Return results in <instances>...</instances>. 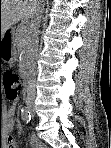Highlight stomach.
Listing matches in <instances>:
<instances>
[{
    "instance_id": "1",
    "label": "stomach",
    "mask_w": 111,
    "mask_h": 148,
    "mask_svg": "<svg viewBox=\"0 0 111 148\" xmlns=\"http://www.w3.org/2000/svg\"><path fill=\"white\" fill-rule=\"evenodd\" d=\"M0 59L6 63H13L16 59V49L14 42L0 46Z\"/></svg>"
}]
</instances>
